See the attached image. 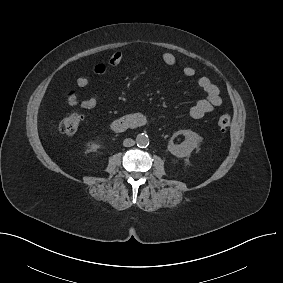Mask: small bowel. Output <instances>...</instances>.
<instances>
[{
  "label": "small bowel",
  "instance_id": "c3829d8e",
  "mask_svg": "<svg viewBox=\"0 0 283 283\" xmlns=\"http://www.w3.org/2000/svg\"><path fill=\"white\" fill-rule=\"evenodd\" d=\"M124 53L116 51L109 57L106 63H97L93 66L92 71L94 74L102 76L109 73L113 68H116L123 60ZM161 60L168 66H175L180 64V60L170 52H163L160 55ZM183 75L188 78L195 76V69L191 66H184L182 68ZM76 85L80 88H85L90 85V79L86 76H79L76 78ZM198 86L202 89L205 97L199 99L190 109V116L193 119H201L206 114L214 111L218 106L222 104V98L220 96L219 89L214 85L211 80L206 76H201L197 79ZM99 98L97 96H91L80 101V106L83 109H93L97 106ZM138 115L143 116L141 113Z\"/></svg>",
  "mask_w": 283,
  "mask_h": 283
}]
</instances>
